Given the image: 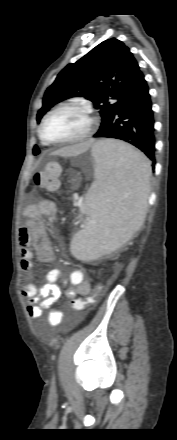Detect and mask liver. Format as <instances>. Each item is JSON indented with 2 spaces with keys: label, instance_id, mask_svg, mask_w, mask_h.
<instances>
[{
  "label": "liver",
  "instance_id": "6515ba94",
  "mask_svg": "<svg viewBox=\"0 0 177 440\" xmlns=\"http://www.w3.org/2000/svg\"><path fill=\"white\" fill-rule=\"evenodd\" d=\"M92 144L93 140L85 141L82 143L64 147L56 151V154L64 157L77 156L86 152Z\"/></svg>",
  "mask_w": 177,
  "mask_h": 440
}]
</instances>
